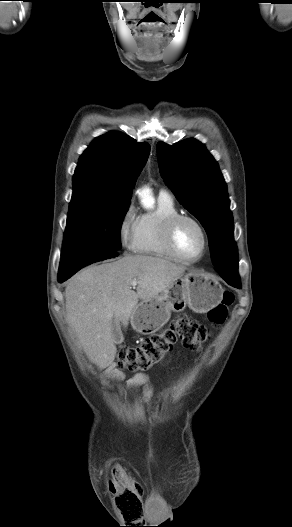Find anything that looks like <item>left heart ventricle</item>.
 Listing matches in <instances>:
<instances>
[{
  "label": "left heart ventricle",
  "mask_w": 292,
  "mask_h": 527,
  "mask_svg": "<svg viewBox=\"0 0 292 527\" xmlns=\"http://www.w3.org/2000/svg\"><path fill=\"white\" fill-rule=\"evenodd\" d=\"M175 245L182 256L194 259L203 248L202 234L192 222L182 221L175 231Z\"/></svg>",
  "instance_id": "1"
}]
</instances>
